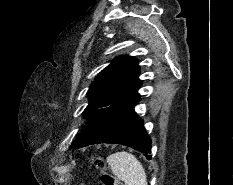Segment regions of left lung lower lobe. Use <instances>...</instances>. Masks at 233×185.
<instances>
[{
    "label": "left lung lower lobe",
    "instance_id": "obj_1",
    "mask_svg": "<svg viewBox=\"0 0 233 185\" xmlns=\"http://www.w3.org/2000/svg\"><path fill=\"white\" fill-rule=\"evenodd\" d=\"M140 81L118 97L91 127L87 128L71 145L72 148L90 144L115 143L129 146L151 159V139L143 127V120L134 111L140 100L137 90Z\"/></svg>",
    "mask_w": 233,
    "mask_h": 185
}]
</instances>
